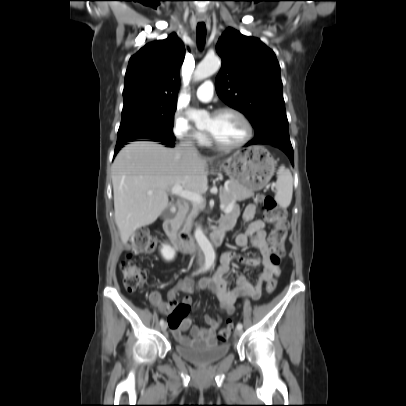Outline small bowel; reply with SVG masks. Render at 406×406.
Segmentation results:
<instances>
[{
	"mask_svg": "<svg viewBox=\"0 0 406 406\" xmlns=\"http://www.w3.org/2000/svg\"><path fill=\"white\" fill-rule=\"evenodd\" d=\"M259 213V208L256 205H249L244 213L243 220L247 226L244 232L236 236V244L240 247H245L251 244L259 252L257 256L245 257L235 251L226 252L221 259V264L211 280H207L198 284L197 287L192 282L183 279L168 293V300L164 302L157 291L150 293L151 303L158 308L161 312L172 314L174 309L178 306H184L190 309L192 300L190 296H186L180 304L177 303V294L185 293L191 294L195 289L206 288L216 295L219 300L221 310L227 314L232 315L235 311L236 301L242 297L247 296L253 300H258L261 297L262 289L265 283L270 279L280 274L278 267L274 266L270 261L271 251L266 243L265 223L261 219H254ZM239 215L238 208H232L221 221H230L235 223ZM234 261L242 262L248 266L262 265L263 269L256 278L255 283L245 275H240L236 279V287L231 286V265ZM205 323L207 328L200 326H191L192 319L187 315L177 326H171L175 337L179 342L192 345H215V335L221 325V320L218 317L205 316ZM191 328V335L193 339L187 337L184 333Z\"/></svg>",
	"mask_w": 406,
	"mask_h": 406,
	"instance_id": "obj_1",
	"label": "small bowel"
}]
</instances>
